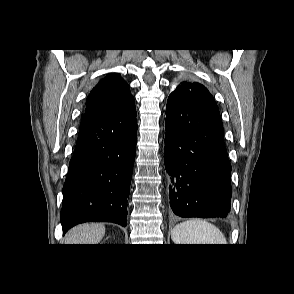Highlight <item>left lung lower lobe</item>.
<instances>
[{"label":"left lung lower lobe","mask_w":294,"mask_h":294,"mask_svg":"<svg viewBox=\"0 0 294 294\" xmlns=\"http://www.w3.org/2000/svg\"><path fill=\"white\" fill-rule=\"evenodd\" d=\"M165 128L164 163L172 211L181 217H226L231 165L217 105L169 97Z\"/></svg>","instance_id":"0a47b994"}]
</instances>
